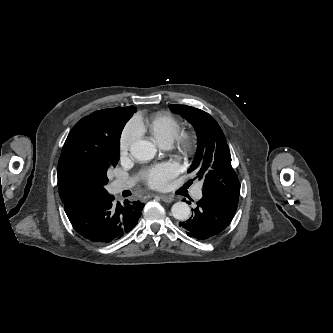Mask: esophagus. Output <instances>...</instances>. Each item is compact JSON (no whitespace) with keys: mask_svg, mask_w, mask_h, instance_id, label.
<instances>
[{"mask_svg":"<svg viewBox=\"0 0 333 333\" xmlns=\"http://www.w3.org/2000/svg\"><path fill=\"white\" fill-rule=\"evenodd\" d=\"M160 198L165 203H170V202L174 201V198L172 196L160 195Z\"/></svg>","mask_w":333,"mask_h":333,"instance_id":"1","label":"esophagus"}]
</instances>
